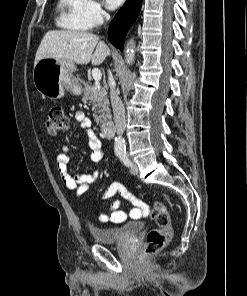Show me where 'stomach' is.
Listing matches in <instances>:
<instances>
[{
	"mask_svg": "<svg viewBox=\"0 0 247 296\" xmlns=\"http://www.w3.org/2000/svg\"><path fill=\"white\" fill-rule=\"evenodd\" d=\"M75 70L73 62L43 58L34 65V86L39 93L50 99L61 98L65 89L74 94H80L81 88L72 76Z\"/></svg>",
	"mask_w": 247,
	"mask_h": 296,
	"instance_id": "0dacf381",
	"label": "stomach"
}]
</instances>
